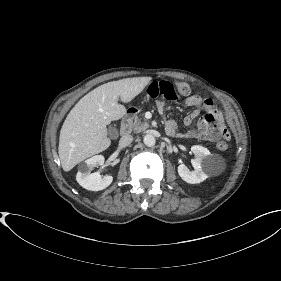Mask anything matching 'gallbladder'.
<instances>
[{"label":"gallbladder","mask_w":281,"mask_h":281,"mask_svg":"<svg viewBox=\"0 0 281 281\" xmlns=\"http://www.w3.org/2000/svg\"><path fill=\"white\" fill-rule=\"evenodd\" d=\"M109 133H110L111 135H114V133H115L114 129H113V128H110V129H109Z\"/></svg>","instance_id":"gallbladder-1"}]
</instances>
